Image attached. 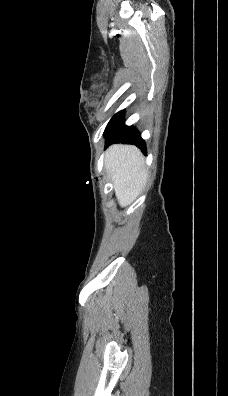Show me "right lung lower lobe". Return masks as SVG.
I'll return each instance as SVG.
<instances>
[{"label": "right lung lower lobe", "instance_id": "98d812e1", "mask_svg": "<svg viewBox=\"0 0 228 396\" xmlns=\"http://www.w3.org/2000/svg\"><path fill=\"white\" fill-rule=\"evenodd\" d=\"M122 117L123 111H120L109 121L104 132L106 147L112 143L134 144L145 152L146 145L140 133L133 126H126Z\"/></svg>", "mask_w": 228, "mask_h": 396}]
</instances>
